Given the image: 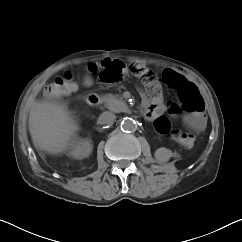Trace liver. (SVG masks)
Wrapping results in <instances>:
<instances>
[{
  "instance_id": "obj_1",
  "label": "liver",
  "mask_w": 242,
  "mask_h": 242,
  "mask_svg": "<svg viewBox=\"0 0 242 242\" xmlns=\"http://www.w3.org/2000/svg\"><path fill=\"white\" fill-rule=\"evenodd\" d=\"M28 125L33 145L50 155L67 151L77 129L63 104L45 100L33 103Z\"/></svg>"
}]
</instances>
